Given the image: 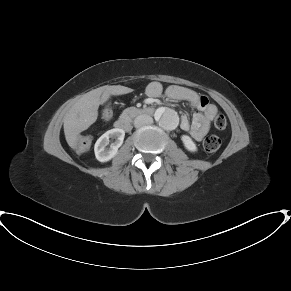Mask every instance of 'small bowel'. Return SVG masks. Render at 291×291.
<instances>
[{"instance_id": "obj_1", "label": "small bowel", "mask_w": 291, "mask_h": 291, "mask_svg": "<svg viewBox=\"0 0 291 291\" xmlns=\"http://www.w3.org/2000/svg\"><path fill=\"white\" fill-rule=\"evenodd\" d=\"M162 93V87L158 82H152L146 89V94L149 98L156 99ZM166 95L172 100L186 101L193 108L195 113L192 121L185 116L181 118V128L188 131L193 138L201 140L210 129V122L217 113L215 104L209 102L206 96L201 95L189 88L172 85L167 88Z\"/></svg>"}]
</instances>
